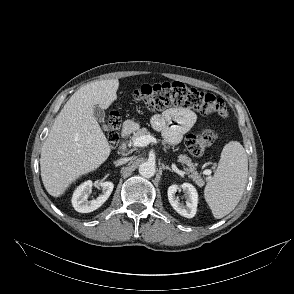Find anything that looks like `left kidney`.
I'll return each instance as SVG.
<instances>
[{"label": "left kidney", "mask_w": 294, "mask_h": 294, "mask_svg": "<svg viewBox=\"0 0 294 294\" xmlns=\"http://www.w3.org/2000/svg\"><path fill=\"white\" fill-rule=\"evenodd\" d=\"M186 197V205H183L178 201L175 194L179 189V186L176 184L171 185L168 188V200L173 209L179 213L181 216L186 218H193L197 211V204H198V193L196 188L190 183H183L180 186Z\"/></svg>", "instance_id": "obj_1"}]
</instances>
